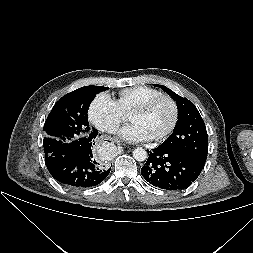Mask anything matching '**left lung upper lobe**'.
<instances>
[{
	"mask_svg": "<svg viewBox=\"0 0 253 253\" xmlns=\"http://www.w3.org/2000/svg\"><path fill=\"white\" fill-rule=\"evenodd\" d=\"M154 86L168 93L177 103L178 121L170 137L161 146L189 154L206 162L208 136L205 123L195 105L163 85Z\"/></svg>",
	"mask_w": 253,
	"mask_h": 253,
	"instance_id": "obj_1",
	"label": "left lung upper lobe"
}]
</instances>
